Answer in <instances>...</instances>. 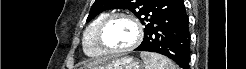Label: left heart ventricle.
<instances>
[{
	"label": "left heart ventricle",
	"mask_w": 246,
	"mask_h": 69,
	"mask_svg": "<svg viewBox=\"0 0 246 69\" xmlns=\"http://www.w3.org/2000/svg\"><path fill=\"white\" fill-rule=\"evenodd\" d=\"M136 38L134 25L127 19L118 18L111 22L103 34L104 42L111 48L122 49Z\"/></svg>",
	"instance_id": "left-heart-ventricle-1"
}]
</instances>
